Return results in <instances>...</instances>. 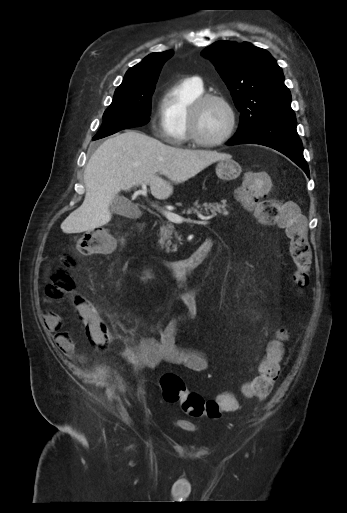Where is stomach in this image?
<instances>
[{"label": "stomach", "instance_id": "1", "mask_svg": "<svg viewBox=\"0 0 347 513\" xmlns=\"http://www.w3.org/2000/svg\"><path fill=\"white\" fill-rule=\"evenodd\" d=\"M215 171L219 179L230 181L241 174L242 168L238 162L232 158H227L218 162Z\"/></svg>", "mask_w": 347, "mask_h": 513}]
</instances>
